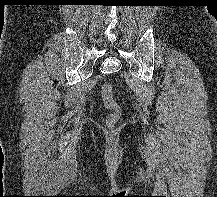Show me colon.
Returning <instances> with one entry per match:
<instances>
[{"label":"colon","instance_id":"1","mask_svg":"<svg viewBox=\"0 0 217 197\" xmlns=\"http://www.w3.org/2000/svg\"><path fill=\"white\" fill-rule=\"evenodd\" d=\"M101 96L103 104L106 108L111 110H118V104L113 95L112 85L106 83L101 88Z\"/></svg>","mask_w":217,"mask_h":197}]
</instances>
